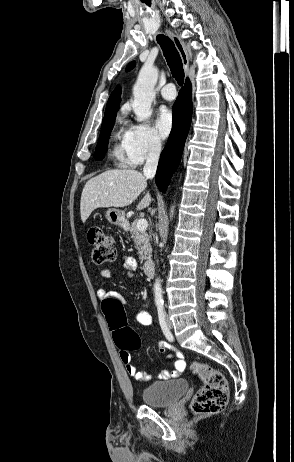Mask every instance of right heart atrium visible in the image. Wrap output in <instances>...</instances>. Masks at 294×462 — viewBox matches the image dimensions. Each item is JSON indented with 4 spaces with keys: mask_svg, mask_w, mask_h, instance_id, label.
<instances>
[{
    "mask_svg": "<svg viewBox=\"0 0 294 462\" xmlns=\"http://www.w3.org/2000/svg\"><path fill=\"white\" fill-rule=\"evenodd\" d=\"M124 146L129 164L137 166L157 156L161 152L162 142L157 132L148 124H130Z\"/></svg>",
    "mask_w": 294,
    "mask_h": 462,
    "instance_id": "right-heart-atrium-1",
    "label": "right heart atrium"
}]
</instances>
